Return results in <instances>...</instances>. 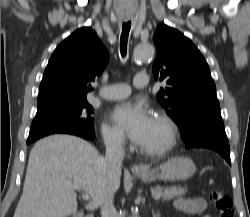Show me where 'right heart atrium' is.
<instances>
[{
	"instance_id": "1",
	"label": "right heart atrium",
	"mask_w": 250,
	"mask_h": 217,
	"mask_svg": "<svg viewBox=\"0 0 250 217\" xmlns=\"http://www.w3.org/2000/svg\"><path fill=\"white\" fill-rule=\"evenodd\" d=\"M101 137L105 145L111 148L122 149L126 145L122 131L105 122L101 125Z\"/></svg>"
}]
</instances>
